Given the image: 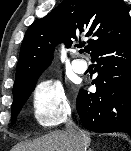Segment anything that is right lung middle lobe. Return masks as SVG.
Wrapping results in <instances>:
<instances>
[{"instance_id": "obj_1", "label": "right lung middle lobe", "mask_w": 131, "mask_h": 151, "mask_svg": "<svg viewBox=\"0 0 131 151\" xmlns=\"http://www.w3.org/2000/svg\"><path fill=\"white\" fill-rule=\"evenodd\" d=\"M40 75L36 76L25 86L13 90V104L11 106V119L15 123L17 115L19 114L22 106L34 90L35 83Z\"/></svg>"}]
</instances>
